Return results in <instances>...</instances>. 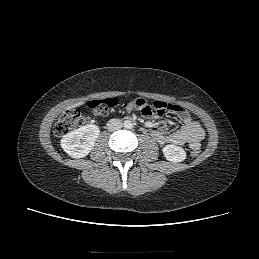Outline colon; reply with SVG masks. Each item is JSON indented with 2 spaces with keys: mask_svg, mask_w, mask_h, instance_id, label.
<instances>
[{
  "mask_svg": "<svg viewBox=\"0 0 259 259\" xmlns=\"http://www.w3.org/2000/svg\"><path fill=\"white\" fill-rule=\"evenodd\" d=\"M118 100L116 98H105L99 100H93L87 103V107L91 110L93 116L104 117L109 114L111 110L117 105ZM127 111L137 109L142 115L146 117H160L165 111L172 110L173 104L156 101L149 103L143 98H137L124 105ZM89 122V117L83 115L78 110H70L64 113L58 120L55 126V134L59 137L66 135L71 130L81 127ZM200 154V150L193 149L191 151L192 157H197Z\"/></svg>",
  "mask_w": 259,
  "mask_h": 259,
  "instance_id": "1",
  "label": "colon"
}]
</instances>
